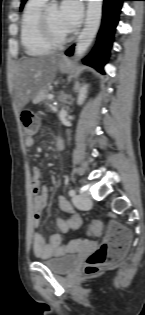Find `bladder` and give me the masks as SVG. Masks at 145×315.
<instances>
[{"label": "bladder", "instance_id": "31cf9c89", "mask_svg": "<svg viewBox=\"0 0 145 315\" xmlns=\"http://www.w3.org/2000/svg\"><path fill=\"white\" fill-rule=\"evenodd\" d=\"M49 269L57 274H66L75 268L79 262L77 256L64 255L58 258H40Z\"/></svg>", "mask_w": 145, "mask_h": 315}]
</instances>
